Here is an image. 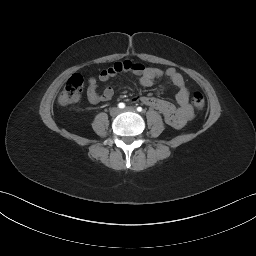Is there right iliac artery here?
Here are the masks:
<instances>
[{
	"label": "right iliac artery",
	"mask_w": 256,
	"mask_h": 256,
	"mask_svg": "<svg viewBox=\"0 0 256 256\" xmlns=\"http://www.w3.org/2000/svg\"><path fill=\"white\" fill-rule=\"evenodd\" d=\"M118 107H119L120 109H123V108H125V104L121 102V103L118 104Z\"/></svg>",
	"instance_id": "obj_1"
}]
</instances>
